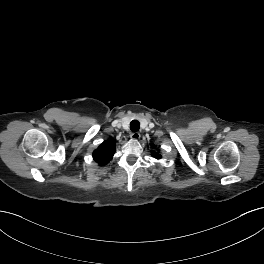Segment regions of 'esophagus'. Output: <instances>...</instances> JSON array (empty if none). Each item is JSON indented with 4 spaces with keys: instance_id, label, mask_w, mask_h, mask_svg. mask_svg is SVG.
Instances as JSON below:
<instances>
[{
    "instance_id": "obj_1",
    "label": "esophagus",
    "mask_w": 264,
    "mask_h": 264,
    "mask_svg": "<svg viewBox=\"0 0 264 264\" xmlns=\"http://www.w3.org/2000/svg\"><path fill=\"white\" fill-rule=\"evenodd\" d=\"M130 138H131L132 140H138V139L140 138V133H138V132H133V133L130 134Z\"/></svg>"
}]
</instances>
